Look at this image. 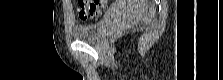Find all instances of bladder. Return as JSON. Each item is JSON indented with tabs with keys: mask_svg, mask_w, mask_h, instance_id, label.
<instances>
[{
	"mask_svg": "<svg viewBox=\"0 0 223 80\" xmlns=\"http://www.w3.org/2000/svg\"><path fill=\"white\" fill-rule=\"evenodd\" d=\"M109 17L107 14L97 23L76 25L72 31L73 38L80 41H97L102 36Z\"/></svg>",
	"mask_w": 223,
	"mask_h": 80,
	"instance_id": "obj_1",
	"label": "bladder"
}]
</instances>
